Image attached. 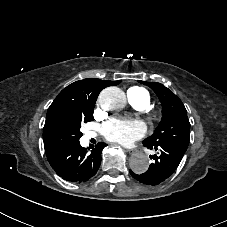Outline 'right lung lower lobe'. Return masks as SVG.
I'll list each match as a JSON object with an SVG mask.
<instances>
[{
	"label": "right lung lower lobe",
	"instance_id": "obj_1",
	"mask_svg": "<svg viewBox=\"0 0 227 227\" xmlns=\"http://www.w3.org/2000/svg\"><path fill=\"white\" fill-rule=\"evenodd\" d=\"M105 146L107 144L99 142L90 153H87L78 142L47 154V159L63 179L71 182L87 181L97 173L102 149Z\"/></svg>",
	"mask_w": 227,
	"mask_h": 227
}]
</instances>
